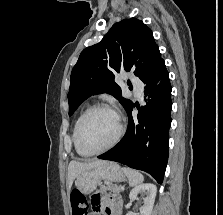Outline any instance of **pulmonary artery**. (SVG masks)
<instances>
[{"label": "pulmonary artery", "instance_id": "pulmonary-artery-1", "mask_svg": "<svg viewBox=\"0 0 223 215\" xmlns=\"http://www.w3.org/2000/svg\"><path fill=\"white\" fill-rule=\"evenodd\" d=\"M129 78H131L132 87H134L132 94H134L135 98H142L143 94L141 92L145 89L146 83L140 82V78L134 77V73H129Z\"/></svg>", "mask_w": 223, "mask_h": 215}]
</instances>
